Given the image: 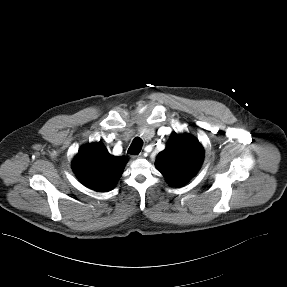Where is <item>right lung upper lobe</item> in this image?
I'll return each mask as SVG.
<instances>
[{
	"label": "right lung upper lobe",
	"instance_id": "right-lung-upper-lobe-1",
	"mask_svg": "<svg viewBox=\"0 0 287 287\" xmlns=\"http://www.w3.org/2000/svg\"><path fill=\"white\" fill-rule=\"evenodd\" d=\"M127 160L125 156L111 155L102 142L91 143L80 148L72 168L85 186L106 192L115 187Z\"/></svg>",
	"mask_w": 287,
	"mask_h": 287
}]
</instances>
